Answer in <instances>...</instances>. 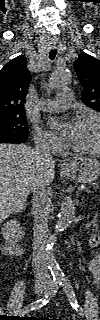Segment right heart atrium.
<instances>
[{
  "instance_id": "d8ad5b80",
  "label": "right heart atrium",
  "mask_w": 100,
  "mask_h": 320,
  "mask_svg": "<svg viewBox=\"0 0 100 320\" xmlns=\"http://www.w3.org/2000/svg\"><path fill=\"white\" fill-rule=\"evenodd\" d=\"M34 141L38 146L46 147L52 150H59L62 147L61 142L57 140L50 132L36 127L34 130Z\"/></svg>"
}]
</instances>
